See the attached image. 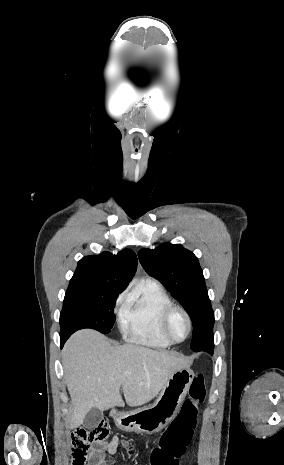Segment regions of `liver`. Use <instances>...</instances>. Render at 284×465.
<instances>
[{
	"instance_id": "1",
	"label": "liver",
	"mask_w": 284,
	"mask_h": 465,
	"mask_svg": "<svg viewBox=\"0 0 284 465\" xmlns=\"http://www.w3.org/2000/svg\"><path fill=\"white\" fill-rule=\"evenodd\" d=\"M66 385L72 403L68 429L82 425L91 409L107 411L140 407L155 399L169 377L190 367L187 359L167 351H153L134 343L112 347L109 339L91 331H77L67 341L62 355Z\"/></svg>"
}]
</instances>
